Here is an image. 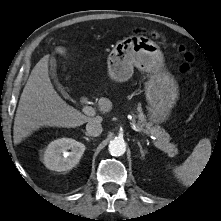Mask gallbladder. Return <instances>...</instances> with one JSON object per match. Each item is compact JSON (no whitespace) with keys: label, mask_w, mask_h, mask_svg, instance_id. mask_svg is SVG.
I'll list each match as a JSON object with an SVG mask.
<instances>
[{"label":"gallbladder","mask_w":221,"mask_h":221,"mask_svg":"<svg viewBox=\"0 0 221 221\" xmlns=\"http://www.w3.org/2000/svg\"><path fill=\"white\" fill-rule=\"evenodd\" d=\"M50 71H51V76H52V78H54V81H55V83L57 84V86H58V89L63 93V88H62V86L57 82V80H56V74H55V72H56V59L54 58V57H51V59H50ZM64 97L65 98H67V97H69V96H67L66 94H64Z\"/></svg>","instance_id":"bac80fb5"}]
</instances>
